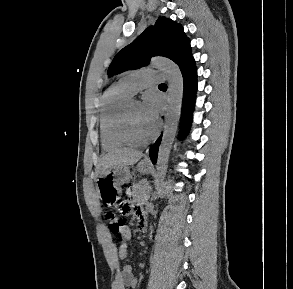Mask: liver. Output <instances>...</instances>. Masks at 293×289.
Returning a JSON list of instances; mask_svg holds the SVG:
<instances>
[{"label":"liver","instance_id":"6515ba94","mask_svg":"<svg viewBox=\"0 0 293 289\" xmlns=\"http://www.w3.org/2000/svg\"><path fill=\"white\" fill-rule=\"evenodd\" d=\"M142 156V152L128 148L111 151L101 159V174H107L113 166L133 165L137 163Z\"/></svg>","mask_w":293,"mask_h":289}]
</instances>
